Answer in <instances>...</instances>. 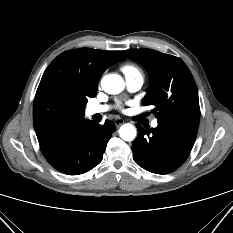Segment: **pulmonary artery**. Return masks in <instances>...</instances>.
Wrapping results in <instances>:
<instances>
[{
  "label": "pulmonary artery",
  "instance_id": "pulmonary-artery-1",
  "mask_svg": "<svg viewBox=\"0 0 233 233\" xmlns=\"http://www.w3.org/2000/svg\"><path fill=\"white\" fill-rule=\"evenodd\" d=\"M143 77L142 76H135V77H126V85L129 91L136 92L138 91L143 85ZM108 105H90L87 108V112L89 115L104 113L109 110ZM151 126L156 128L158 126L157 120L152 121Z\"/></svg>",
  "mask_w": 233,
  "mask_h": 233
}]
</instances>
